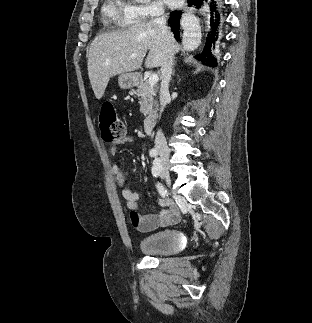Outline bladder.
<instances>
[{
	"label": "bladder",
	"instance_id": "31cf9c89",
	"mask_svg": "<svg viewBox=\"0 0 312 323\" xmlns=\"http://www.w3.org/2000/svg\"><path fill=\"white\" fill-rule=\"evenodd\" d=\"M141 249L146 256H162L179 250L178 234L170 229L160 230L151 236L142 237L139 242Z\"/></svg>",
	"mask_w": 312,
	"mask_h": 323
}]
</instances>
